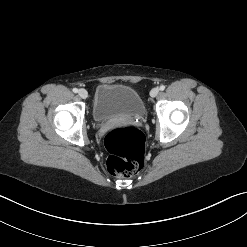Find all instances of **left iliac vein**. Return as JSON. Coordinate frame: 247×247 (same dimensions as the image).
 I'll list each match as a JSON object with an SVG mask.
<instances>
[{"label":"left iliac vein","instance_id":"left-iliac-vein-1","mask_svg":"<svg viewBox=\"0 0 247 247\" xmlns=\"http://www.w3.org/2000/svg\"><path fill=\"white\" fill-rule=\"evenodd\" d=\"M159 93V89L158 88H153L151 91H150V95L151 97H156Z\"/></svg>","mask_w":247,"mask_h":247}]
</instances>
